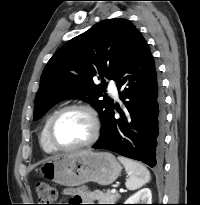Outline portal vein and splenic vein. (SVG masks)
I'll return each mask as SVG.
<instances>
[{
    "label": "portal vein and splenic vein",
    "instance_id": "1",
    "mask_svg": "<svg viewBox=\"0 0 200 205\" xmlns=\"http://www.w3.org/2000/svg\"><path fill=\"white\" fill-rule=\"evenodd\" d=\"M111 192H112V193H116V189L113 188V189L111 190Z\"/></svg>",
    "mask_w": 200,
    "mask_h": 205
}]
</instances>
